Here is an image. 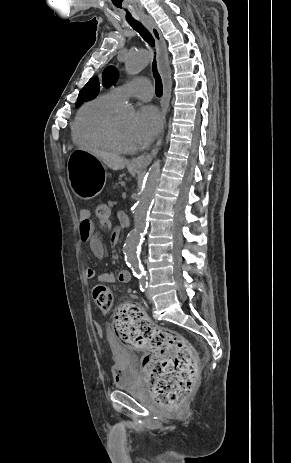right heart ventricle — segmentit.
<instances>
[{
  "instance_id": "e07e8e85",
  "label": "right heart ventricle",
  "mask_w": 291,
  "mask_h": 463,
  "mask_svg": "<svg viewBox=\"0 0 291 463\" xmlns=\"http://www.w3.org/2000/svg\"><path fill=\"white\" fill-rule=\"evenodd\" d=\"M118 105L110 92L85 103L72 125L74 143L90 150H112L103 130Z\"/></svg>"
}]
</instances>
